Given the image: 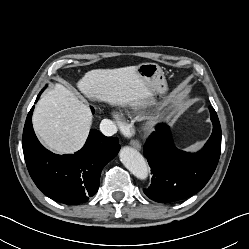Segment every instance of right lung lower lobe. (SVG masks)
<instances>
[{"mask_svg":"<svg viewBox=\"0 0 249 249\" xmlns=\"http://www.w3.org/2000/svg\"><path fill=\"white\" fill-rule=\"evenodd\" d=\"M33 109L34 106L28 113L22 140L31 178L46 196L57 202L69 205L86 202L99 188L103 167L116 156L120 148L118 139L91 129L81 150L74 154H53L40 144L34 133Z\"/></svg>","mask_w":249,"mask_h":249,"instance_id":"1","label":"right lung lower lobe"}]
</instances>
